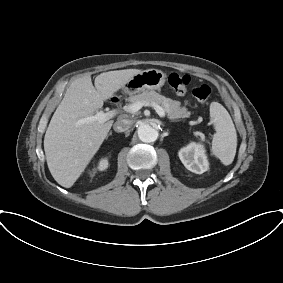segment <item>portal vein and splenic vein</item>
<instances>
[{"mask_svg": "<svg viewBox=\"0 0 283 283\" xmlns=\"http://www.w3.org/2000/svg\"><path fill=\"white\" fill-rule=\"evenodd\" d=\"M151 105L157 114L160 117H165V111L164 109L155 103H143V102H135L133 104H130L128 106L124 107V111L128 113H136L138 112L143 106H149ZM117 114V110H111L108 112H103V111H98L95 115L88 116L86 118H83L80 120V123H89V122H99V123H104L108 121L109 119L113 118Z\"/></svg>", "mask_w": 283, "mask_h": 283, "instance_id": "1", "label": "portal vein and splenic vein"}]
</instances>
